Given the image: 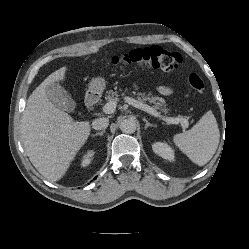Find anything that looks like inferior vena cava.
Listing matches in <instances>:
<instances>
[{"label": "inferior vena cava", "instance_id": "obj_1", "mask_svg": "<svg viewBox=\"0 0 249 249\" xmlns=\"http://www.w3.org/2000/svg\"><path fill=\"white\" fill-rule=\"evenodd\" d=\"M108 125H109V119L104 117L95 119L92 122V128L95 130L106 129Z\"/></svg>", "mask_w": 249, "mask_h": 249}]
</instances>
